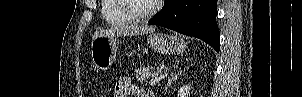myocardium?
<instances>
[{
	"label": "myocardium",
	"mask_w": 302,
	"mask_h": 97,
	"mask_svg": "<svg viewBox=\"0 0 302 97\" xmlns=\"http://www.w3.org/2000/svg\"><path fill=\"white\" fill-rule=\"evenodd\" d=\"M129 1L130 0H119V6L130 19L136 22H140L151 17L158 9V3H152L146 12L136 13L132 10Z\"/></svg>",
	"instance_id": "1"
}]
</instances>
